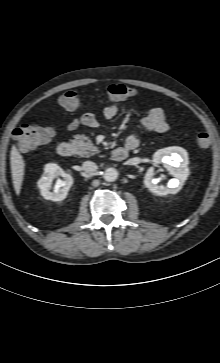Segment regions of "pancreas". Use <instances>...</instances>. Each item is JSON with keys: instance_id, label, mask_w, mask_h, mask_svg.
<instances>
[{"instance_id": "1", "label": "pancreas", "mask_w": 220, "mask_h": 363, "mask_svg": "<svg viewBox=\"0 0 220 363\" xmlns=\"http://www.w3.org/2000/svg\"><path fill=\"white\" fill-rule=\"evenodd\" d=\"M86 140V141H84ZM73 143L78 149V154L82 157H90L94 153H98L99 150L94 144L91 142V140L88 139L85 135H76L75 139L73 140Z\"/></svg>"}]
</instances>
